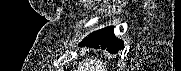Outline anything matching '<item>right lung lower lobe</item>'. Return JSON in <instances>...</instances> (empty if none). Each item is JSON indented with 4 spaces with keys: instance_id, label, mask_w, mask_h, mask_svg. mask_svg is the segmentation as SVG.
<instances>
[{
    "instance_id": "98d812e1",
    "label": "right lung lower lobe",
    "mask_w": 181,
    "mask_h": 71,
    "mask_svg": "<svg viewBox=\"0 0 181 71\" xmlns=\"http://www.w3.org/2000/svg\"><path fill=\"white\" fill-rule=\"evenodd\" d=\"M113 28V26H110L91 33L88 37L84 38L82 42H80L79 46H87L97 49L102 48L110 53H117L123 49V41L115 38Z\"/></svg>"
}]
</instances>
